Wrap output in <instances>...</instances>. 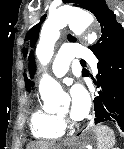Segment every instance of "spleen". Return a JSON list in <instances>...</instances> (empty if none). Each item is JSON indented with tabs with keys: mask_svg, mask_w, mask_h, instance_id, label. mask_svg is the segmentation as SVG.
I'll return each instance as SVG.
<instances>
[{
	"mask_svg": "<svg viewBox=\"0 0 124 149\" xmlns=\"http://www.w3.org/2000/svg\"><path fill=\"white\" fill-rule=\"evenodd\" d=\"M98 149H111L115 143L113 131L107 126L95 127Z\"/></svg>",
	"mask_w": 124,
	"mask_h": 149,
	"instance_id": "1",
	"label": "spleen"
}]
</instances>
